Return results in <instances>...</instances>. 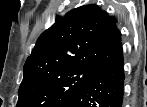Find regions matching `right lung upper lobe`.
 Listing matches in <instances>:
<instances>
[{
  "label": "right lung upper lobe",
  "instance_id": "1",
  "mask_svg": "<svg viewBox=\"0 0 147 107\" xmlns=\"http://www.w3.org/2000/svg\"><path fill=\"white\" fill-rule=\"evenodd\" d=\"M121 47L114 18L97 5L81 6L41 34L24 65V76L79 66L99 69Z\"/></svg>",
  "mask_w": 147,
  "mask_h": 107
}]
</instances>
